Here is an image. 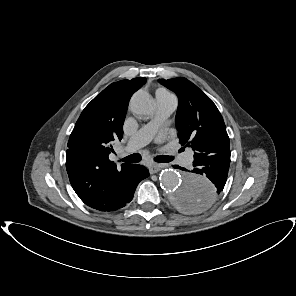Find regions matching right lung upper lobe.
Returning <instances> with one entry per match:
<instances>
[{"instance_id":"1","label":"right lung upper lobe","mask_w":296,"mask_h":296,"mask_svg":"<svg viewBox=\"0 0 296 296\" xmlns=\"http://www.w3.org/2000/svg\"><path fill=\"white\" fill-rule=\"evenodd\" d=\"M146 78L109 85L82 111L68 141L66 169L79 198L91 208L110 211L123 195L131 164L121 168L109 160L113 142L123 137V123L132 94Z\"/></svg>"}]
</instances>
